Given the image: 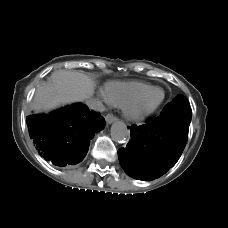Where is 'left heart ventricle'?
<instances>
[{
	"instance_id": "b2bd125f",
	"label": "left heart ventricle",
	"mask_w": 228,
	"mask_h": 228,
	"mask_svg": "<svg viewBox=\"0 0 228 228\" xmlns=\"http://www.w3.org/2000/svg\"><path fill=\"white\" fill-rule=\"evenodd\" d=\"M161 95L162 93L160 90H153L141 99L139 105L141 107H151L160 100Z\"/></svg>"
}]
</instances>
